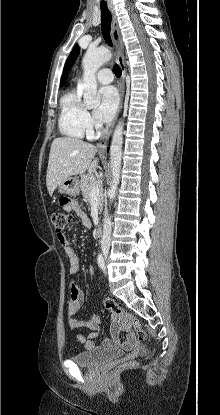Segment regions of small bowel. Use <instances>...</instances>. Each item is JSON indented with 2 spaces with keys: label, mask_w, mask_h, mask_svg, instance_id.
Masks as SVG:
<instances>
[{
  "label": "small bowel",
  "mask_w": 220,
  "mask_h": 415,
  "mask_svg": "<svg viewBox=\"0 0 220 415\" xmlns=\"http://www.w3.org/2000/svg\"><path fill=\"white\" fill-rule=\"evenodd\" d=\"M69 212H74L82 221L83 225L90 226L91 221L86 216L84 211L80 208L77 203H70L64 207ZM57 239L59 243L63 246L65 254L68 259V270L71 275H77L80 270L79 257L76 254L71 242L69 241L65 233L57 234ZM92 272V269H90ZM83 303V293L79 288L76 282H71L69 287V306H68V324L69 327L73 330L79 329L82 327L88 328L90 333L88 335L78 334L77 340L82 343L87 349L95 348V344L92 339L96 338L100 334V318L99 316H92L88 319L79 320L75 317V314L79 311ZM116 320L119 318L115 317ZM119 327H124L123 324L117 323L113 329V338L104 340L102 346L105 348L116 349L121 345H124L123 348H129L133 345V339L127 338L122 341L117 336V330Z\"/></svg>",
  "instance_id": "c3829d8e"
}]
</instances>
